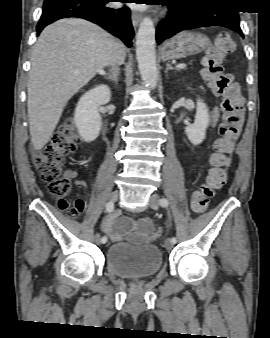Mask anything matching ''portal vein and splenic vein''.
<instances>
[{"label": "portal vein and splenic vein", "mask_w": 270, "mask_h": 338, "mask_svg": "<svg viewBox=\"0 0 270 338\" xmlns=\"http://www.w3.org/2000/svg\"><path fill=\"white\" fill-rule=\"evenodd\" d=\"M186 64H184V63H180V64H178V65H176V68H178V69H184V68H186Z\"/></svg>", "instance_id": "18ae733b"}]
</instances>
